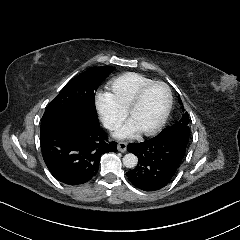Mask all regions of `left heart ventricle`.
Listing matches in <instances>:
<instances>
[{"instance_id": "1", "label": "left heart ventricle", "mask_w": 240, "mask_h": 240, "mask_svg": "<svg viewBox=\"0 0 240 240\" xmlns=\"http://www.w3.org/2000/svg\"><path fill=\"white\" fill-rule=\"evenodd\" d=\"M166 102V91L161 86L151 87L144 95L140 106L133 112L130 121L140 131L152 128L160 119Z\"/></svg>"}]
</instances>
